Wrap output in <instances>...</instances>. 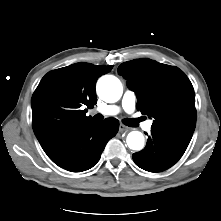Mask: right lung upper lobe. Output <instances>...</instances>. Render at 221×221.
<instances>
[{
  "mask_svg": "<svg viewBox=\"0 0 221 221\" xmlns=\"http://www.w3.org/2000/svg\"><path fill=\"white\" fill-rule=\"evenodd\" d=\"M113 66L75 63L48 72L32 96V125L42 148L73 128L91 122L87 108L97 103V79Z\"/></svg>",
  "mask_w": 221,
  "mask_h": 221,
  "instance_id": "cb5924a9",
  "label": "right lung upper lobe"
}]
</instances>
